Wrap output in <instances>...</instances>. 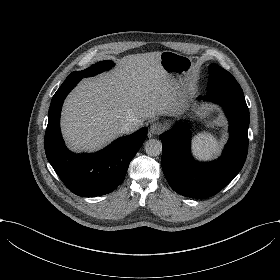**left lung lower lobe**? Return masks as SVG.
<instances>
[{"label": "left lung lower lobe", "mask_w": 280, "mask_h": 280, "mask_svg": "<svg viewBox=\"0 0 280 280\" xmlns=\"http://www.w3.org/2000/svg\"><path fill=\"white\" fill-rule=\"evenodd\" d=\"M200 99L220 104L229 120L230 139L218 160L201 163L192 158L187 123H178L159 137L162 169L169 185L191 198H208L223 189L242 169L248 151L249 110L238 82L210 89Z\"/></svg>", "instance_id": "obj_1"}]
</instances>
